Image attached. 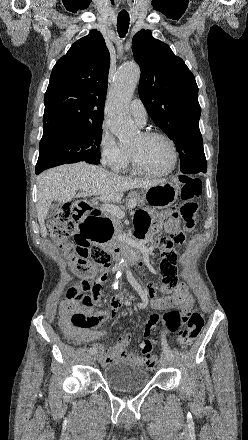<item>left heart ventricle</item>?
<instances>
[{"mask_svg": "<svg viewBox=\"0 0 248 440\" xmlns=\"http://www.w3.org/2000/svg\"><path fill=\"white\" fill-rule=\"evenodd\" d=\"M130 148L136 152L142 166L149 171H165L172 163V148L162 138H145L140 134Z\"/></svg>", "mask_w": 248, "mask_h": 440, "instance_id": "b2bd125f", "label": "left heart ventricle"}]
</instances>
